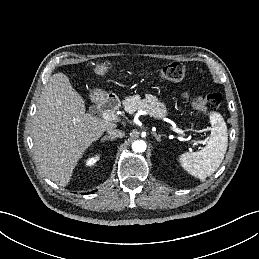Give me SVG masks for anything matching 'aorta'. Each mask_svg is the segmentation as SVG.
Listing matches in <instances>:
<instances>
[{
	"label": "aorta",
	"mask_w": 259,
	"mask_h": 259,
	"mask_svg": "<svg viewBox=\"0 0 259 259\" xmlns=\"http://www.w3.org/2000/svg\"><path fill=\"white\" fill-rule=\"evenodd\" d=\"M132 150L134 152H144L146 150V143L143 140H137L132 143Z\"/></svg>",
	"instance_id": "obj_1"
}]
</instances>
